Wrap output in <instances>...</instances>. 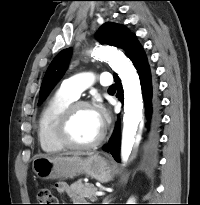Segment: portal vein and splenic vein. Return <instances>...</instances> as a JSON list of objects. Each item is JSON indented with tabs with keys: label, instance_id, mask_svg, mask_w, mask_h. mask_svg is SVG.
<instances>
[{
	"label": "portal vein and splenic vein",
	"instance_id": "1",
	"mask_svg": "<svg viewBox=\"0 0 200 205\" xmlns=\"http://www.w3.org/2000/svg\"><path fill=\"white\" fill-rule=\"evenodd\" d=\"M94 194L96 196H103L105 193L103 191H96Z\"/></svg>",
	"mask_w": 200,
	"mask_h": 205
}]
</instances>
